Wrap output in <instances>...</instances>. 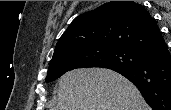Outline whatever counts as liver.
<instances>
[{"instance_id":"6515ba94","label":"liver","mask_w":171,"mask_h":110,"mask_svg":"<svg viewBox=\"0 0 171 110\" xmlns=\"http://www.w3.org/2000/svg\"><path fill=\"white\" fill-rule=\"evenodd\" d=\"M57 96L53 110H150L128 79L105 68L66 72L58 80Z\"/></svg>"}]
</instances>
